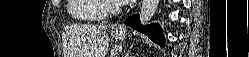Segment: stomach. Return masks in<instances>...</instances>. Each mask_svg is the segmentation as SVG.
Listing matches in <instances>:
<instances>
[{"label":"stomach","mask_w":249,"mask_h":57,"mask_svg":"<svg viewBox=\"0 0 249 57\" xmlns=\"http://www.w3.org/2000/svg\"><path fill=\"white\" fill-rule=\"evenodd\" d=\"M111 36L116 40V41H123L126 39L127 32L125 29L122 28H113L111 31Z\"/></svg>","instance_id":"obj_1"}]
</instances>
